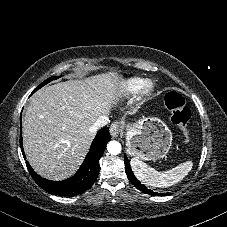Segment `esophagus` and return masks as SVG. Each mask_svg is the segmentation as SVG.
<instances>
[{
  "instance_id": "obj_1",
  "label": "esophagus",
  "mask_w": 227,
  "mask_h": 227,
  "mask_svg": "<svg viewBox=\"0 0 227 227\" xmlns=\"http://www.w3.org/2000/svg\"><path fill=\"white\" fill-rule=\"evenodd\" d=\"M110 134L113 138H116L120 134V123L119 122H113L110 126Z\"/></svg>"
}]
</instances>
